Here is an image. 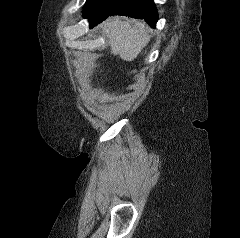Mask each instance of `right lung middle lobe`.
I'll use <instances>...</instances> for the list:
<instances>
[{
  "instance_id": "obj_1",
  "label": "right lung middle lobe",
  "mask_w": 240,
  "mask_h": 238,
  "mask_svg": "<svg viewBox=\"0 0 240 238\" xmlns=\"http://www.w3.org/2000/svg\"><path fill=\"white\" fill-rule=\"evenodd\" d=\"M124 0H87L84 5L83 16L89 19L93 27L104 16L117 9Z\"/></svg>"
}]
</instances>
